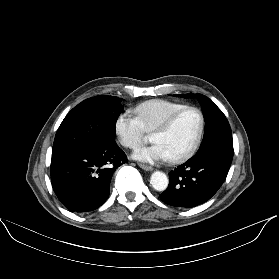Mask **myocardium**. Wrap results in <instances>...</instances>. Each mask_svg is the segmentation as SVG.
Instances as JSON below:
<instances>
[{
  "mask_svg": "<svg viewBox=\"0 0 279 279\" xmlns=\"http://www.w3.org/2000/svg\"><path fill=\"white\" fill-rule=\"evenodd\" d=\"M186 111H194L199 119V126H198V130L196 133V136L191 144V146L181 155L175 156V157H171L169 158V161L172 163H181L186 161L187 159H189L197 150L201 139H202V135H203V131H204V116L203 113L201 112V110L197 107L194 106H184L176 111H174L173 113H171L154 131L153 134H162L167 132L170 127L172 126V124L174 123V121L176 120V118L186 112Z\"/></svg>",
  "mask_w": 279,
  "mask_h": 279,
  "instance_id": "myocardium-1",
  "label": "myocardium"
}]
</instances>
